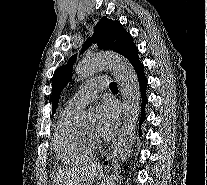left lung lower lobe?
Here are the masks:
<instances>
[{
	"mask_svg": "<svg viewBox=\"0 0 207 185\" xmlns=\"http://www.w3.org/2000/svg\"><path fill=\"white\" fill-rule=\"evenodd\" d=\"M135 72L138 76V81L141 90V98H142V109H141V119H140V126L145 120V105L147 104L148 100L145 95L146 87H147V79L144 74V66L143 64L138 65L135 68ZM139 135L141 136V130H139Z\"/></svg>",
	"mask_w": 207,
	"mask_h": 185,
	"instance_id": "1",
	"label": "left lung lower lobe"
}]
</instances>
